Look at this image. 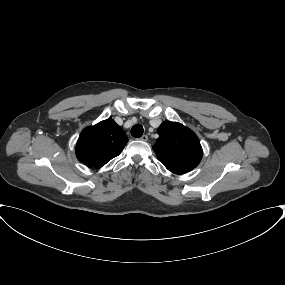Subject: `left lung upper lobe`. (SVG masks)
I'll list each match as a JSON object with an SVG mask.
<instances>
[{"label": "left lung upper lobe", "mask_w": 285, "mask_h": 285, "mask_svg": "<svg viewBox=\"0 0 285 285\" xmlns=\"http://www.w3.org/2000/svg\"><path fill=\"white\" fill-rule=\"evenodd\" d=\"M159 138L153 146L159 161L172 173L193 170L202 158L197 136L180 123L165 121L157 130Z\"/></svg>", "instance_id": "obj_1"}]
</instances>
